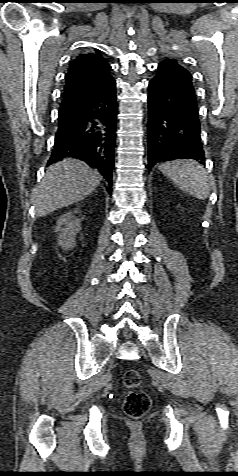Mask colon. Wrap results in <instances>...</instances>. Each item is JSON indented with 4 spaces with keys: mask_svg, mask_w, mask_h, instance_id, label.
Returning a JSON list of instances; mask_svg holds the SVG:
<instances>
[{
    "mask_svg": "<svg viewBox=\"0 0 238 476\" xmlns=\"http://www.w3.org/2000/svg\"><path fill=\"white\" fill-rule=\"evenodd\" d=\"M123 384L130 391L127 393L123 408L125 413L133 419L143 417L150 409L151 400L147 393L135 390L140 386L141 376L136 369H127L123 373Z\"/></svg>",
    "mask_w": 238,
    "mask_h": 476,
    "instance_id": "colon-1",
    "label": "colon"
}]
</instances>
